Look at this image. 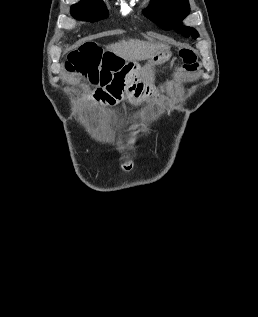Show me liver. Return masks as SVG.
<instances>
[{
  "label": "liver",
  "mask_w": 258,
  "mask_h": 317,
  "mask_svg": "<svg viewBox=\"0 0 258 317\" xmlns=\"http://www.w3.org/2000/svg\"><path fill=\"white\" fill-rule=\"evenodd\" d=\"M106 48L128 62H137V60H147L148 58L149 62L146 66L149 68L152 64V56L160 54L162 50H169L170 46L167 42H160V40L129 38V40H119L114 44H108Z\"/></svg>",
  "instance_id": "6515ba94"
}]
</instances>
